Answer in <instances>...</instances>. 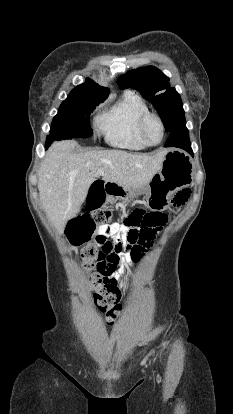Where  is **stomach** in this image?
<instances>
[{
	"instance_id": "stomach-1",
	"label": "stomach",
	"mask_w": 233,
	"mask_h": 414,
	"mask_svg": "<svg viewBox=\"0 0 233 414\" xmlns=\"http://www.w3.org/2000/svg\"><path fill=\"white\" fill-rule=\"evenodd\" d=\"M193 178L191 157L177 149L167 152L158 172L152 174L150 185L138 192L146 194L147 204L152 208L166 207L172 195L188 186ZM114 195L122 198L133 196V192L116 184Z\"/></svg>"
}]
</instances>
